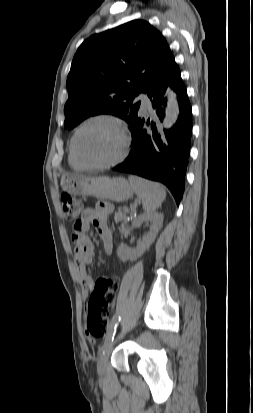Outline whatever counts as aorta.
I'll return each mask as SVG.
<instances>
[{
    "label": "aorta",
    "mask_w": 253,
    "mask_h": 413,
    "mask_svg": "<svg viewBox=\"0 0 253 413\" xmlns=\"http://www.w3.org/2000/svg\"><path fill=\"white\" fill-rule=\"evenodd\" d=\"M166 95L168 97L167 108L165 112L164 126L170 128L177 120L179 115V105L175 93L167 89Z\"/></svg>",
    "instance_id": "aorta-1"
}]
</instances>
